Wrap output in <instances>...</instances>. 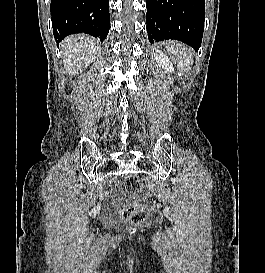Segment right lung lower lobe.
<instances>
[{
    "mask_svg": "<svg viewBox=\"0 0 265 273\" xmlns=\"http://www.w3.org/2000/svg\"><path fill=\"white\" fill-rule=\"evenodd\" d=\"M51 16L57 43L75 33L103 41L110 29L109 0H52Z\"/></svg>",
    "mask_w": 265,
    "mask_h": 273,
    "instance_id": "1",
    "label": "right lung lower lobe"
}]
</instances>
